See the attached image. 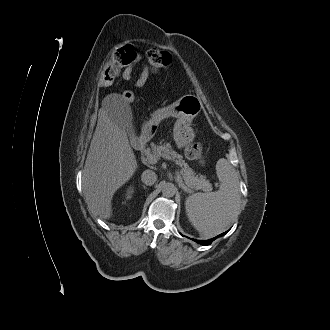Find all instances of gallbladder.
Segmentation results:
<instances>
[{
    "mask_svg": "<svg viewBox=\"0 0 330 330\" xmlns=\"http://www.w3.org/2000/svg\"><path fill=\"white\" fill-rule=\"evenodd\" d=\"M115 112L118 116L119 123L126 133L130 135L134 132V126L132 122V110L129 104L121 102L116 108Z\"/></svg>",
    "mask_w": 330,
    "mask_h": 330,
    "instance_id": "bac80fb5",
    "label": "gallbladder"
}]
</instances>
